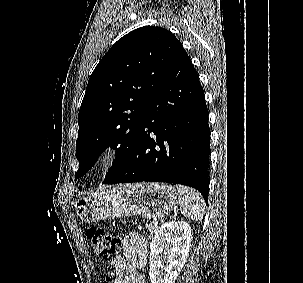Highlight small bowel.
<instances>
[{"instance_id": "obj_1", "label": "small bowel", "mask_w": 303, "mask_h": 283, "mask_svg": "<svg viewBox=\"0 0 303 283\" xmlns=\"http://www.w3.org/2000/svg\"><path fill=\"white\" fill-rule=\"evenodd\" d=\"M148 245L141 234L132 232L123 240V255L109 260L113 268L106 283H147L139 270L146 265Z\"/></svg>"}]
</instances>
